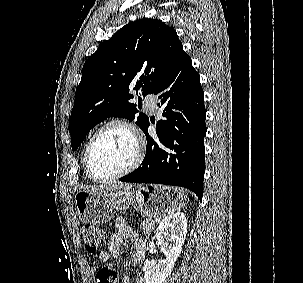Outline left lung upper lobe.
Here are the masks:
<instances>
[{
    "label": "left lung upper lobe",
    "mask_w": 303,
    "mask_h": 283,
    "mask_svg": "<svg viewBox=\"0 0 303 283\" xmlns=\"http://www.w3.org/2000/svg\"><path fill=\"white\" fill-rule=\"evenodd\" d=\"M183 52L174 29L158 19L143 18L118 30L85 62L69 120L72 150L87 133L108 117L136 120L143 129L149 118L138 113L129 87L146 96Z\"/></svg>",
    "instance_id": "1"
}]
</instances>
